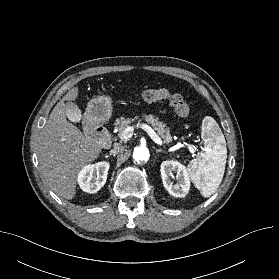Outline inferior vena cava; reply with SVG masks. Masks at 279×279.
I'll list each match as a JSON object with an SVG mask.
<instances>
[{"instance_id":"obj_1","label":"inferior vena cava","mask_w":279,"mask_h":279,"mask_svg":"<svg viewBox=\"0 0 279 279\" xmlns=\"http://www.w3.org/2000/svg\"><path fill=\"white\" fill-rule=\"evenodd\" d=\"M121 152H123V147L120 144H115L114 148L111 149V153H113V154H118Z\"/></svg>"}]
</instances>
